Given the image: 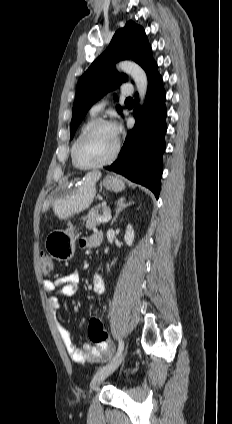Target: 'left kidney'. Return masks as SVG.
I'll use <instances>...</instances> for the list:
<instances>
[{
    "mask_svg": "<svg viewBox=\"0 0 232 424\" xmlns=\"http://www.w3.org/2000/svg\"><path fill=\"white\" fill-rule=\"evenodd\" d=\"M134 236H135L134 230H133L132 226L129 224L127 226L126 233H125V236H124V240H125V242L128 246H131L133 244ZM107 268L109 270V265H107Z\"/></svg>",
    "mask_w": 232,
    "mask_h": 424,
    "instance_id": "obj_1",
    "label": "left kidney"
}]
</instances>
